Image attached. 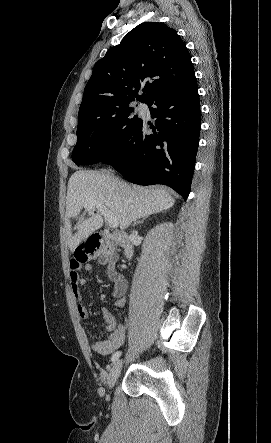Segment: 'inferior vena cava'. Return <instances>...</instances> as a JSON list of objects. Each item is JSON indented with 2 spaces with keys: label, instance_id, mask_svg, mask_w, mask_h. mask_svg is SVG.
<instances>
[{
  "label": "inferior vena cava",
  "instance_id": "1",
  "mask_svg": "<svg viewBox=\"0 0 271 443\" xmlns=\"http://www.w3.org/2000/svg\"><path fill=\"white\" fill-rule=\"evenodd\" d=\"M118 186H119V188H122V186H121L120 182H119Z\"/></svg>",
  "mask_w": 271,
  "mask_h": 443
}]
</instances>
